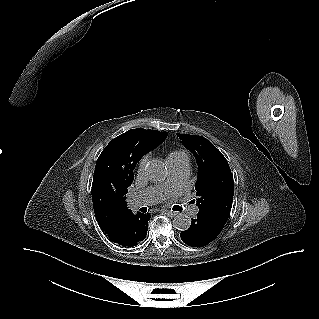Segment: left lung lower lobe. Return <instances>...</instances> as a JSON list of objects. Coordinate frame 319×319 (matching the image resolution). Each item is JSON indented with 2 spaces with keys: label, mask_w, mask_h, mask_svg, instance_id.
<instances>
[{
  "label": "left lung lower lobe",
  "mask_w": 319,
  "mask_h": 319,
  "mask_svg": "<svg viewBox=\"0 0 319 319\" xmlns=\"http://www.w3.org/2000/svg\"><path fill=\"white\" fill-rule=\"evenodd\" d=\"M231 209L225 207L199 209L189 229L181 233L182 241L191 247H203L212 242L224 227Z\"/></svg>",
  "instance_id": "0a47b994"
}]
</instances>
